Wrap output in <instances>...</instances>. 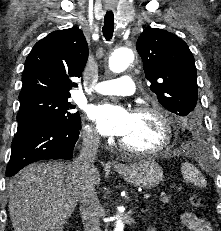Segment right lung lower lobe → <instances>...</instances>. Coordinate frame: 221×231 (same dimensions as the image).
<instances>
[{
	"label": "right lung lower lobe",
	"instance_id": "right-lung-lower-lobe-1",
	"mask_svg": "<svg viewBox=\"0 0 221 231\" xmlns=\"http://www.w3.org/2000/svg\"><path fill=\"white\" fill-rule=\"evenodd\" d=\"M81 123L31 120L17 128L6 176H14L26 165L44 159H71Z\"/></svg>",
	"mask_w": 221,
	"mask_h": 231
}]
</instances>
